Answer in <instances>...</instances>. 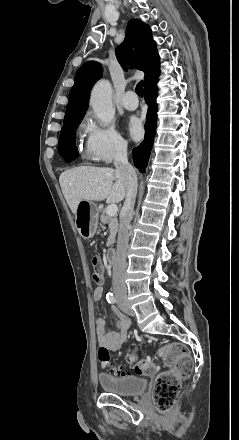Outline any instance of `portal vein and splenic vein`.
<instances>
[{
    "label": "portal vein and splenic vein",
    "instance_id": "obj_1",
    "mask_svg": "<svg viewBox=\"0 0 239 440\" xmlns=\"http://www.w3.org/2000/svg\"><path fill=\"white\" fill-rule=\"evenodd\" d=\"M117 210H118V208H117L116 204H109V206H107L108 216H116Z\"/></svg>",
    "mask_w": 239,
    "mask_h": 440
}]
</instances>
